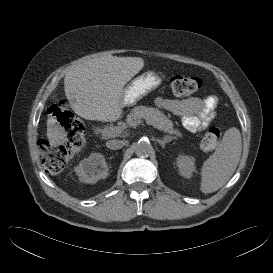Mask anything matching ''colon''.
<instances>
[{"mask_svg":"<svg viewBox=\"0 0 273 273\" xmlns=\"http://www.w3.org/2000/svg\"><path fill=\"white\" fill-rule=\"evenodd\" d=\"M169 88L174 96L185 97L198 92L202 88V81L194 76L174 75L169 80ZM59 103L51 108V113L59 119L68 136L57 145H52L48 142H41L39 144L42 163L50 173L54 174L61 172L69 159L78 153L85 144V128L83 123L67 111V109L61 107ZM222 136L223 131L221 128H209L202 138V149L204 151L215 149Z\"/></svg>","mask_w":273,"mask_h":273,"instance_id":"5ec220e1","label":"colon"}]
</instances>
